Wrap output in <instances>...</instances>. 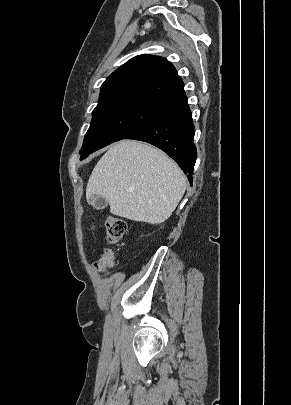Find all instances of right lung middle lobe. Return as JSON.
<instances>
[{
    "label": "right lung middle lobe",
    "mask_w": 291,
    "mask_h": 405,
    "mask_svg": "<svg viewBox=\"0 0 291 405\" xmlns=\"http://www.w3.org/2000/svg\"><path fill=\"white\" fill-rule=\"evenodd\" d=\"M169 104L127 99L98 105L80 150L81 159L113 142L125 139L168 108Z\"/></svg>",
    "instance_id": "obj_1"
}]
</instances>
